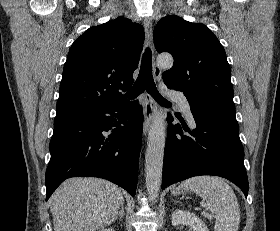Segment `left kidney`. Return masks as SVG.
Returning <instances> with one entry per match:
<instances>
[{
    "label": "left kidney",
    "instance_id": "obj_1",
    "mask_svg": "<svg viewBox=\"0 0 280 231\" xmlns=\"http://www.w3.org/2000/svg\"><path fill=\"white\" fill-rule=\"evenodd\" d=\"M172 225H190L193 231H209L207 225H205L202 219H199L195 213H190V211H183V209H175L172 213Z\"/></svg>",
    "mask_w": 280,
    "mask_h": 231
}]
</instances>
